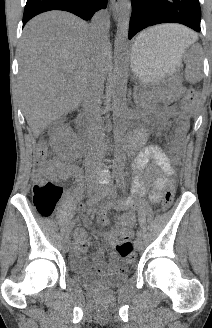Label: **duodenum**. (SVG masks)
<instances>
[{
	"instance_id": "obj_1",
	"label": "duodenum",
	"mask_w": 212,
	"mask_h": 328,
	"mask_svg": "<svg viewBox=\"0 0 212 328\" xmlns=\"http://www.w3.org/2000/svg\"><path fill=\"white\" fill-rule=\"evenodd\" d=\"M143 139V134L140 132V133H137L134 137H133V144H138L142 141Z\"/></svg>"
}]
</instances>
